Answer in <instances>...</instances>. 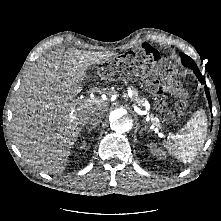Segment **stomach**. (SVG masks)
<instances>
[{"label":"stomach","mask_w":221,"mask_h":221,"mask_svg":"<svg viewBox=\"0 0 221 221\" xmlns=\"http://www.w3.org/2000/svg\"><path fill=\"white\" fill-rule=\"evenodd\" d=\"M171 68L165 62L150 64L146 69L145 92L152 97V116L158 122H167L173 116V99L167 94Z\"/></svg>","instance_id":"0dacf381"}]
</instances>
